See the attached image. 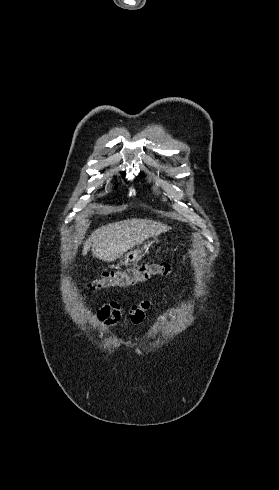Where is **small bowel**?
I'll list each match as a JSON object with an SVG mask.
<instances>
[{"label":"small bowel","mask_w":279,"mask_h":490,"mask_svg":"<svg viewBox=\"0 0 279 490\" xmlns=\"http://www.w3.org/2000/svg\"><path fill=\"white\" fill-rule=\"evenodd\" d=\"M151 307V302L143 300L137 304L132 305L130 309V319L134 323H139L144 320L145 312ZM175 311H171L168 314L162 315L160 321L162 323L168 322L171 317H174ZM122 317V305L118 301H111L104 305L96 313V320L106 329L115 325Z\"/></svg>","instance_id":"1"}]
</instances>
